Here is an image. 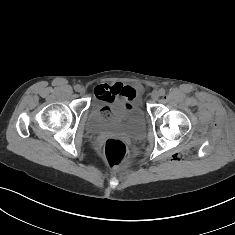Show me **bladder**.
<instances>
[{
  "mask_svg": "<svg viewBox=\"0 0 235 235\" xmlns=\"http://www.w3.org/2000/svg\"><path fill=\"white\" fill-rule=\"evenodd\" d=\"M86 127L94 134L115 131L135 138L145 131V115L137 101H117L107 108L102 101H96L89 111Z\"/></svg>",
  "mask_w": 235,
  "mask_h": 235,
  "instance_id": "obj_1",
  "label": "bladder"
}]
</instances>
